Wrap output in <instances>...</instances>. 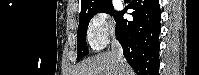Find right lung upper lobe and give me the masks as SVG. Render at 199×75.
<instances>
[{"mask_svg": "<svg viewBox=\"0 0 199 75\" xmlns=\"http://www.w3.org/2000/svg\"><path fill=\"white\" fill-rule=\"evenodd\" d=\"M111 2L110 0H81V11L79 16L84 15L103 4Z\"/></svg>", "mask_w": 199, "mask_h": 75, "instance_id": "1", "label": "right lung upper lobe"}]
</instances>
